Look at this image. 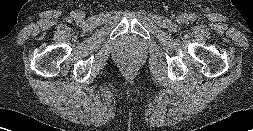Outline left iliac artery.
<instances>
[{"label":"left iliac artery","instance_id":"44dca946","mask_svg":"<svg viewBox=\"0 0 253 131\" xmlns=\"http://www.w3.org/2000/svg\"><path fill=\"white\" fill-rule=\"evenodd\" d=\"M189 19H190L191 21H194V20L196 19V16H195L194 14H191V15L189 16Z\"/></svg>","mask_w":253,"mask_h":131}]
</instances>
